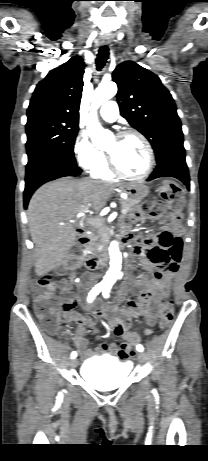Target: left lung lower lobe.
<instances>
[{"mask_svg": "<svg viewBox=\"0 0 208 461\" xmlns=\"http://www.w3.org/2000/svg\"><path fill=\"white\" fill-rule=\"evenodd\" d=\"M170 176L182 181L190 189L188 167L185 161V150H174L157 161V166L147 181Z\"/></svg>", "mask_w": 208, "mask_h": 461, "instance_id": "obj_1", "label": "left lung lower lobe"}]
</instances>
